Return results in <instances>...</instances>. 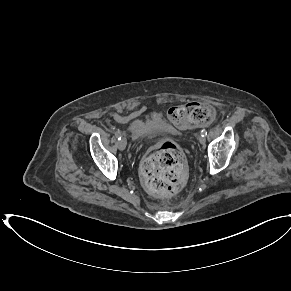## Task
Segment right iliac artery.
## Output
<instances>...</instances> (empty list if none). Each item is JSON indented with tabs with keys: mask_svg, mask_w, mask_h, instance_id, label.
<instances>
[{
	"mask_svg": "<svg viewBox=\"0 0 291 291\" xmlns=\"http://www.w3.org/2000/svg\"><path fill=\"white\" fill-rule=\"evenodd\" d=\"M115 136H116V138H117L118 140H120L122 134H121V132L118 130V131H116Z\"/></svg>",
	"mask_w": 291,
	"mask_h": 291,
	"instance_id": "obj_1",
	"label": "right iliac artery"
}]
</instances>
